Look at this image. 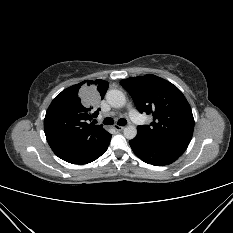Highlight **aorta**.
<instances>
[{"label": "aorta", "mask_w": 233, "mask_h": 233, "mask_svg": "<svg viewBox=\"0 0 233 233\" xmlns=\"http://www.w3.org/2000/svg\"><path fill=\"white\" fill-rule=\"evenodd\" d=\"M106 100L114 108H122L126 104V97L120 90H109L106 93ZM137 135V129L134 125H128L124 128V136L127 139H133Z\"/></svg>", "instance_id": "762f6f07"}]
</instances>
